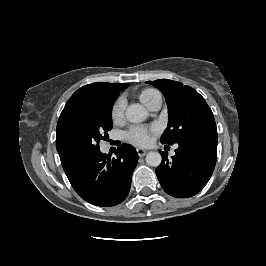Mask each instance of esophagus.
<instances>
[{"label": "esophagus", "mask_w": 266, "mask_h": 266, "mask_svg": "<svg viewBox=\"0 0 266 266\" xmlns=\"http://www.w3.org/2000/svg\"><path fill=\"white\" fill-rule=\"evenodd\" d=\"M136 151L139 157H144L147 154V151L141 148H137Z\"/></svg>", "instance_id": "esophagus-1"}]
</instances>
